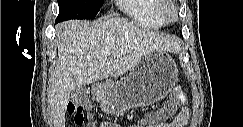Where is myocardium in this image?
<instances>
[{
  "label": "myocardium",
  "instance_id": "obj_1",
  "mask_svg": "<svg viewBox=\"0 0 243 127\" xmlns=\"http://www.w3.org/2000/svg\"><path fill=\"white\" fill-rule=\"evenodd\" d=\"M180 10L175 1L163 0L160 16L166 23H175L179 20Z\"/></svg>",
  "mask_w": 243,
  "mask_h": 127
}]
</instances>
